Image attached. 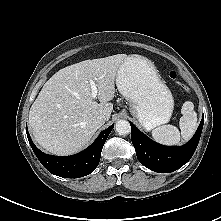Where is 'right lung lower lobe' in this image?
<instances>
[{"label":"right lung lower lobe","instance_id":"1","mask_svg":"<svg viewBox=\"0 0 221 221\" xmlns=\"http://www.w3.org/2000/svg\"><path fill=\"white\" fill-rule=\"evenodd\" d=\"M114 128V124L100 133L97 139L84 151L66 157L47 155L32 142L26 128L31 148L41 164L52 174L64 178H79L90 174L99 164L105 141Z\"/></svg>","mask_w":221,"mask_h":221}]
</instances>
